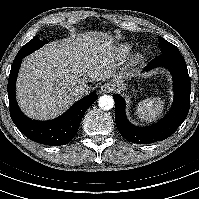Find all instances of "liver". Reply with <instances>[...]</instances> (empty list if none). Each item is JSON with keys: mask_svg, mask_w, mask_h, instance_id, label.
I'll use <instances>...</instances> for the list:
<instances>
[{"mask_svg": "<svg viewBox=\"0 0 199 199\" xmlns=\"http://www.w3.org/2000/svg\"><path fill=\"white\" fill-rule=\"evenodd\" d=\"M112 40L105 32H83L54 41L24 58L16 94L25 115L42 120L54 118L79 99L74 93L77 84L123 77L122 72L115 74Z\"/></svg>", "mask_w": 199, "mask_h": 199, "instance_id": "1", "label": "liver"}]
</instances>
